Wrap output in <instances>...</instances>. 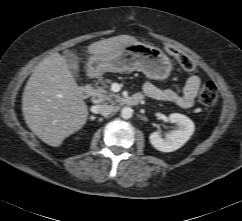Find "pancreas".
<instances>
[{"instance_id": "cf45deb5", "label": "pancreas", "mask_w": 242, "mask_h": 221, "mask_svg": "<svg viewBox=\"0 0 242 221\" xmlns=\"http://www.w3.org/2000/svg\"><path fill=\"white\" fill-rule=\"evenodd\" d=\"M105 83H111V80L106 79H100L98 83H96L95 88L92 89L91 95H92V102L93 103H106L110 102L112 104H115L119 101H121V98L119 95L113 93L109 88L108 85ZM99 84L103 86H99Z\"/></svg>"}]
</instances>
